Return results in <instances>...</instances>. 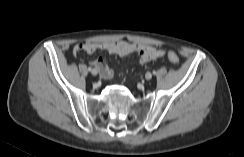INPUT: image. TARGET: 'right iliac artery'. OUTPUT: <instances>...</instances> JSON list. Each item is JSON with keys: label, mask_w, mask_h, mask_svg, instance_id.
I'll return each mask as SVG.
<instances>
[{"label": "right iliac artery", "mask_w": 244, "mask_h": 157, "mask_svg": "<svg viewBox=\"0 0 244 157\" xmlns=\"http://www.w3.org/2000/svg\"><path fill=\"white\" fill-rule=\"evenodd\" d=\"M88 70L92 72L93 68L89 67Z\"/></svg>", "instance_id": "obj_1"}]
</instances>
